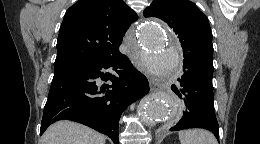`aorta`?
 Masks as SVG:
<instances>
[{
    "instance_id": "aorta-1",
    "label": "aorta",
    "mask_w": 260,
    "mask_h": 144,
    "mask_svg": "<svg viewBox=\"0 0 260 144\" xmlns=\"http://www.w3.org/2000/svg\"><path fill=\"white\" fill-rule=\"evenodd\" d=\"M137 38L140 47L148 54L140 60L148 74L168 77L177 70L180 63L178 41L159 21L148 19L143 22ZM137 112L141 122L146 125L164 122L171 126L179 119L175 99L165 92L144 97L138 105Z\"/></svg>"
}]
</instances>
